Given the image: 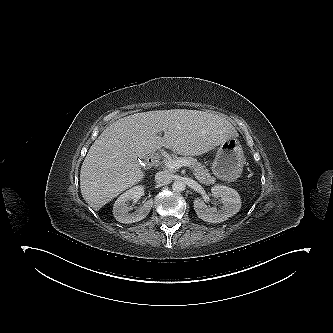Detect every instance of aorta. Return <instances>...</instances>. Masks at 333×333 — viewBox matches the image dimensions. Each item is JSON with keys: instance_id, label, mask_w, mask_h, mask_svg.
<instances>
[{"instance_id": "aorta-1", "label": "aorta", "mask_w": 333, "mask_h": 333, "mask_svg": "<svg viewBox=\"0 0 333 333\" xmlns=\"http://www.w3.org/2000/svg\"><path fill=\"white\" fill-rule=\"evenodd\" d=\"M172 189L176 192H182L185 190V184L182 181H174Z\"/></svg>"}]
</instances>
